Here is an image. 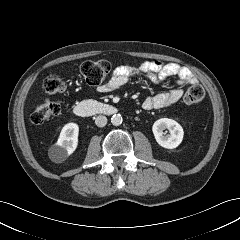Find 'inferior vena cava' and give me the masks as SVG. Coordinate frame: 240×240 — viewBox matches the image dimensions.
Listing matches in <instances>:
<instances>
[{"instance_id":"obj_1","label":"inferior vena cava","mask_w":240,"mask_h":240,"mask_svg":"<svg viewBox=\"0 0 240 240\" xmlns=\"http://www.w3.org/2000/svg\"><path fill=\"white\" fill-rule=\"evenodd\" d=\"M95 124L98 127H104L107 124V118L103 115H99L95 118Z\"/></svg>"}]
</instances>
